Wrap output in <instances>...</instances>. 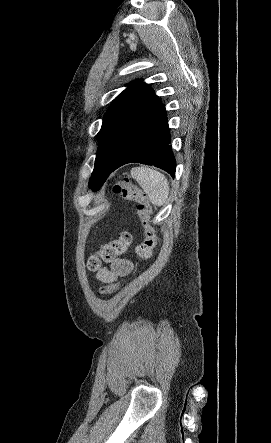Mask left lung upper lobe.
Listing matches in <instances>:
<instances>
[{
    "instance_id": "1",
    "label": "left lung upper lobe",
    "mask_w": 271,
    "mask_h": 443,
    "mask_svg": "<svg viewBox=\"0 0 271 443\" xmlns=\"http://www.w3.org/2000/svg\"><path fill=\"white\" fill-rule=\"evenodd\" d=\"M112 103L103 118L98 136V150L89 187L96 191L110 174L113 160L125 130L151 92V87L137 80L128 84Z\"/></svg>"
}]
</instances>
